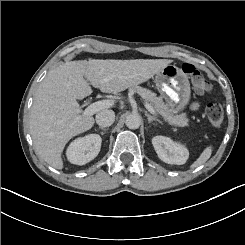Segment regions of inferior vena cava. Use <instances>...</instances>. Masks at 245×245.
<instances>
[{
	"mask_svg": "<svg viewBox=\"0 0 245 245\" xmlns=\"http://www.w3.org/2000/svg\"><path fill=\"white\" fill-rule=\"evenodd\" d=\"M115 113L112 110H102L96 115V123L101 127H108L113 124Z\"/></svg>",
	"mask_w": 245,
	"mask_h": 245,
	"instance_id": "obj_1",
	"label": "inferior vena cava"
}]
</instances>
